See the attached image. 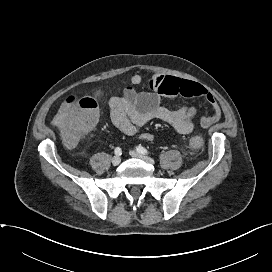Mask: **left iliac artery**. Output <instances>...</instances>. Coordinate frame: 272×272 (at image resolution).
<instances>
[{
    "label": "left iliac artery",
    "mask_w": 272,
    "mask_h": 272,
    "mask_svg": "<svg viewBox=\"0 0 272 272\" xmlns=\"http://www.w3.org/2000/svg\"><path fill=\"white\" fill-rule=\"evenodd\" d=\"M136 150L141 153V154H148L149 152L147 151V149H145L143 146L139 145L136 147Z\"/></svg>",
    "instance_id": "left-iliac-artery-1"
}]
</instances>
